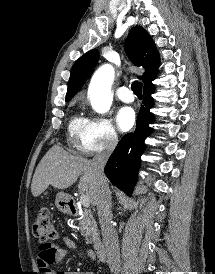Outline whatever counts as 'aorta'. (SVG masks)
<instances>
[{
  "label": "aorta",
  "instance_id": "aorta-1",
  "mask_svg": "<svg viewBox=\"0 0 215 274\" xmlns=\"http://www.w3.org/2000/svg\"><path fill=\"white\" fill-rule=\"evenodd\" d=\"M114 68L110 64L101 66L93 75L88 94L92 108L98 113H106L112 105L111 85Z\"/></svg>",
  "mask_w": 215,
  "mask_h": 274
}]
</instances>
